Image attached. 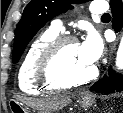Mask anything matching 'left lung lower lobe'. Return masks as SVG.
<instances>
[{
	"label": "left lung lower lobe",
	"mask_w": 123,
	"mask_h": 113,
	"mask_svg": "<svg viewBox=\"0 0 123 113\" xmlns=\"http://www.w3.org/2000/svg\"><path fill=\"white\" fill-rule=\"evenodd\" d=\"M110 6L112 11V27L118 32L122 28L123 21V4L121 0H110ZM91 91L97 93H114V91L123 90V76L117 75L111 69L109 70V76H104L98 80L90 88Z\"/></svg>",
	"instance_id": "1"
}]
</instances>
